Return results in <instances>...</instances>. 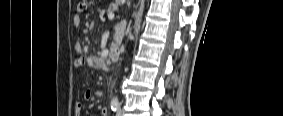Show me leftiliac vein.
I'll list each match as a JSON object with an SVG mask.
<instances>
[{
	"instance_id": "4c4485c4",
	"label": "left iliac vein",
	"mask_w": 283,
	"mask_h": 116,
	"mask_svg": "<svg viewBox=\"0 0 283 116\" xmlns=\"http://www.w3.org/2000/svg\"><path fill=\"white\" fill-rule=\"evenodd\" d=\"M121 115H122V110H121V108H118L117 116H121Z\"/></svg>"
}]
</instances>
